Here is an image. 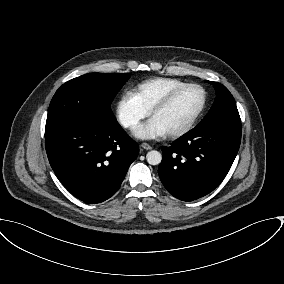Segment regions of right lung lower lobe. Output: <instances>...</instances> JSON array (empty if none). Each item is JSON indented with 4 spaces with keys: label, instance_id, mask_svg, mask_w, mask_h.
I'll use <instances>...</instances> for the list:
<instances>
[{
    "label": "right lung lower lobe",
    "instance_id": "98d812e1",
    "mask_svg": "<svg viewBox=\"0 0 284 284\" xmlns=\"http://www.w3.org/2000/svg\"><path fill=\"white\" fill-rule=\"evenodd\" d=\"M45 145L58 179L86 203L113 196L139 153L116 119L63 123L45 132Z\"/></svg>",
    "mask_w": 284,
    "mask_h": 284
}]
</instances>
